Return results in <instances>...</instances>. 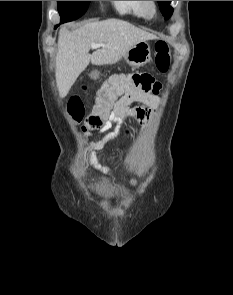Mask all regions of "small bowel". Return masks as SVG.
Listing matches in <instances>:
<instances>
[{"mask_svg": "<svg viewBox=\"0 0 233 295\" xmlns=\"http://www.w3.org/2000/svg\"><path fill=\"white\" fill-rule=\"evenodd\" d=\"M133 102H140L144 105L131 107ZM159 104V97L156 94H143L137 97H123L117 100L114 104V108L109 114L107 120L104 124L98 128L100 132H106L110 130L115 125L116 133L120 128L122 122L127 118H136L141 121H148L153 115V107ZM95 148H100L101 145L97 144ZM91 160L94 167L100 171H107L106 168H103L98 164L95 153L91 152ZM134 185L136 181L132 182Z\"/></svg>", "mask_w": 233, "mask_h": 295, "instance_id": "small-bowel-1", "label": "small bowel"}]
</instances>
